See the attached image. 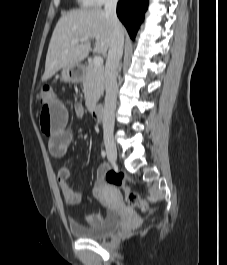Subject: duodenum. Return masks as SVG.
Returning a JSON list of instances; mask_svg holds the SVG:
<instances>
[{"instance_id":"410a0bca","label":"duodenum","mask_w":227,"mask_h":265,"mask_svg":"<svg viewBox=\"0 0 227 265\" xmlns=\"http://www.w3.org/2000/svg\"><path fill=\"white\" fill-rule=\"evenodd\" d=\"M91 114L96 121H102L104 118V108L100 104H96L91 109Z\"/></svg>"}]
</instances>
